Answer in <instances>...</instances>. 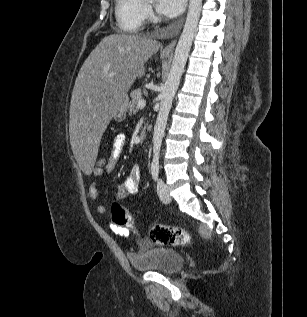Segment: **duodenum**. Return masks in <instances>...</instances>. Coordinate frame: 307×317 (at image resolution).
I'll return each instance as SVG.
<instances>
[{
  "mask_svg": "<svg viewBox=\"0 0 307 317\" xmlns=\"http://www.w3.org/2000/svg\"><path fill=\"white\" fill-rule=\"evenodd\" d=\"M146 134H147L146 128L141 129L140 134H139V138L141 141H143L146 138Z\"/></svg>",
  "mask_w": 307,
  "mask_h": 317,
  "instance_id": "duodenum-1",
  "label": "duodenum"
}]
</instances>
